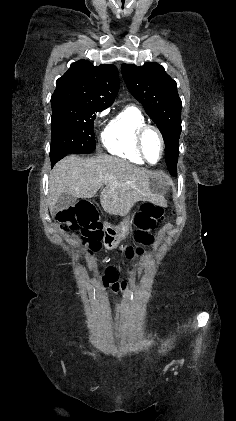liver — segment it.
I'll return each instance as SVG.
<instances>
[{
  "instance_id": "obj_1",
  "label": "liver",
  "mask_w": 236,
  "mask_h": 421,
  "mask_svg": "<svg viewBox=\"0 0 236 421\" xmlns=\"http://www.w3.org/2000/svg\"><path fill=\"white\" fill-rule=\"evenodd\" d=\"M103 184L100 202L109 215L126 217L137 200H150L163 206L164 198L150 188L148 172L144 168L109 154H99L96 158L68 154L55 164L49 176L51 217H54L57 198L63 192L77 198H91Z\"/></svg>"
}]
</instances>
